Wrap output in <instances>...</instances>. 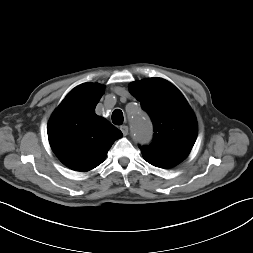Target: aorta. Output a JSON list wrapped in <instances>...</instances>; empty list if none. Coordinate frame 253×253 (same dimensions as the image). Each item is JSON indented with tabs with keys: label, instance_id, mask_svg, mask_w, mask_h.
I'll return each mask as SVG.
<instances>
[{
	"label": "aorta",
	"instance_id": "obj_1",
	"mask_svg": "<svg viewBox=\"0 0 253 253\" xmlns=\"http://www.w3.org/2000/svg\"><path fill=\"white\" fill-rule=\"evenodd\" d=\"M130 132L133 140L140 145L148 144L152 139V124L148 116L139 108L130 118Z\"/></svg>",
	"mask_w": 253,
	"mask_h": 253
}]
</instances>
